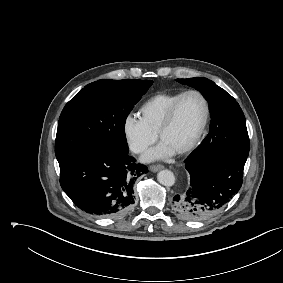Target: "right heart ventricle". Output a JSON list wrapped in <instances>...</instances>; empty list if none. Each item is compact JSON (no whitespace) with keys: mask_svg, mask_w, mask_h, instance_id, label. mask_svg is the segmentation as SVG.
<instances>
[{"mask_svg":"<svg viewBox=\"0 0 283 283\" xmlns=\"http://www.w3.org/2000/svg\"><path fill=\"white\" fill-rule=\"evenodd\" d=\"M183 91H163L156 93L143 103L140 108L141 119L153 133L157 134L166 114Z\"/></svg>","mask_w":283,"mask_h":283,"instance_id":"e07e8e85","label":"right heart ventricle"}]
</instances>
